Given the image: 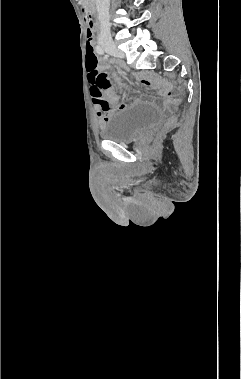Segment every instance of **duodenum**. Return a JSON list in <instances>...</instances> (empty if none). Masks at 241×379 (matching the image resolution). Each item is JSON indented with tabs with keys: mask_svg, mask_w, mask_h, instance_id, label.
Listing matches in <instances>:
<instances>
[{
	"mask_svg": "<svg viewBox=\"0 0 241 379\" xmlns=\"http://www.w3.org/2000/svg\"><path fill=\"white\" fill-rule=\"evenodd\" d=\"M89 2H87L86 4V7H85V10H86V18L88 21H92V8H93V5H94V0H88Z\"/></svg>",
	"mask_w": 241,
	"mask_h": 379,
	"instance_id": "410a0bca",
	"label": "duodenum"
}]
</instances>
